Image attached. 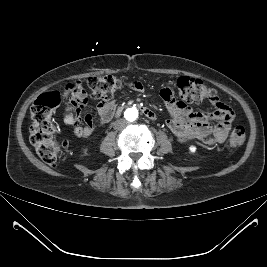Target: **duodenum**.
<instances>
[{"mask_svg": "<svg viewBox=\"0 0 267 267\" xmlns=\"http://www.w3.org/2000/svg\"><path fill=\"white\" fill-rule=\"evenodd\" d=\"M142 110H143V113H144L148 118H150V119H155V118H156L155 113H154L151 109H149V108H147V107H143ZM121 111H122V107H119V108H117V109L113 112L112 115H113V116H118V115L121 113Z\"/></svg>", "mask_w": 267, "mask_h": 267, "instance_id": "duodenum-1", "label": "duodenum"}]
</instances>
